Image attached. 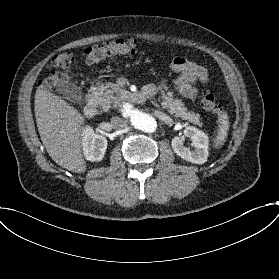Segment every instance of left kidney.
<instances>
[{
	"instance_id": "1",
	"label": "left kidney",
	"mask_w": 279,
	"mask_h": 279,
	"mask_svg": "<svg viewBox=\"0 0 279 279\" xmlns=\"http://www.w3.org/2000/svg\"><path fill=\"white\" fill-rule=\"evenodd\" d=\"M185 137L190 138L191 145L194 150L184 146ZM173 151L184 160L194 164H204L208 158L209 139L208 136L201 130L187 126L184 130V135L174 137L171 142Z\"/></svg>"
}]
</instances>
